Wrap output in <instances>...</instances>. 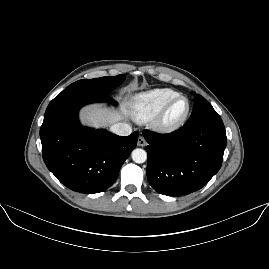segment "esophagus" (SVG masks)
<instances>
[{
    "instance_id": "obj_1",
    "label": "esophagus",
    "mask_w": 269,
    "mask_h": 269,
    "mask_svg": "<svg viewBox=\"0 0 269 269\" xmlns=\"http://www.w3.org/2000/svg\"><path fill=\"white\" fill-rule=\"evenodd\" d=\"M146 144H147V142H146V140L144 139V137H143V136H140V137L138 138V141H137V146H139V147H144V146H146Z\"/></svg>"
}]
</instances>
